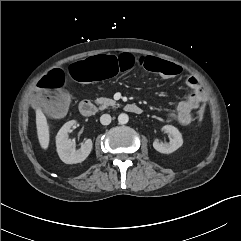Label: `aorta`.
I'll use <instances>...</instances> for the list:
<instances>
[{"label": "aorta", "mask_w": 241, "mask_h": 241, "mask_svg": "<svg viewBox=\"0 0 241 241\" xmlns=\"http://www.w3.org/2000/svg\"><path fill=\"white\" fill-rule=\"evenodd\" d=\"M128 121H129V117H128L127 114L121 113V114L118 116V122H119L120 124H126V123H128Z\"/></svg>", "instance_id": "obj_1"}]
</instances>
